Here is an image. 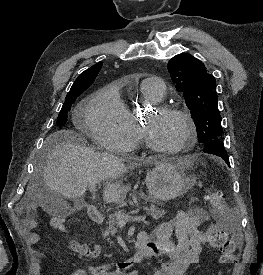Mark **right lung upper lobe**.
<instances>
[{
    "instance_id": "1",
    "label": "right lung upper lobe",
    "mask_w": 263,
    "mask_h": 275,
    "mask_svg": "<svg viewBox=\"0 0 263 275\" xmlns=\"http://www.w3.org/2000/svg\"><path fill=\"white\" fill-rule=\"evenodd\" d=\"M101 67H102V62H99L93 65L92 67H90L89 69L85 70L84 72H82L75 80L68 94H72L78 90L89 88L90 85L94 82Z\"/></svg>"
}]
</instances>
